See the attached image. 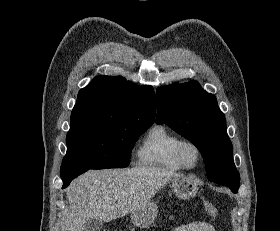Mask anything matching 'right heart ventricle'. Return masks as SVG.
Wrapping results in <instances>:
<instances>
[{"label":"right heart ventricle","mask_w":280,"mask_h":231,"mask_svg":"<svg viewBox=\"0 0 280 231\" xmlns=\"http://www.w3.org/2000/svg\"><path fill=\"white\" fill-rule=\"evenodd\" d=\"M181 137L166 124L153 125L144 135L136 151L141 166H157L169 171H181L175 149Z\"/></svg>","instance_id":"e07e8e85"}]
</instances>
